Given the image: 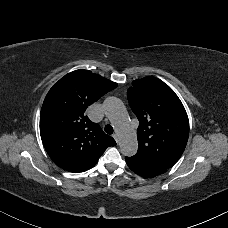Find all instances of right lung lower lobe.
Returning a JSON list of instances; mask_svg holds the SVG:
<instances>
[{
  "mask_svg": "<svg viewBox=\"0 0 228 228\" xmlns=\"http://www.w3.org/2000/svg\"><path fill=\"white\" fill-rule=\"evenodd\" d=\"M96 163H97V162H96ZM96 163H95V164H96ZM95 164H93V165H92L91 167H89L88 169L92 168ZM88 169H86V170H88ZM86 170H84V171H86Z\"/></svg>",
  "mask_w": 228,
  "mask_h": 228,
  "instance_id": "1",
  "label": "right lung lower lobe"
}]
</instances>
